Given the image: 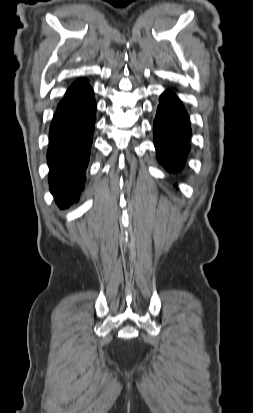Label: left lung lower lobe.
<instances>
[{
    "label": "left lung lower lobe",
    "instance_id": "obj_1",
    "mask_svg": "<svg viewBox=\"0 0 253 413\" xmlns=\"http://www.w3.org/2000/svg\"><path fill=\"white\" fill-rule=\"evenodd\" d=\"M153 124L158 161L170 172L181 170L190 149L189 116L179 98L171 91L160 96Z\"/></svg>",
    "mask_w": 253,
    "mask_h": 413
}]
</instances>
